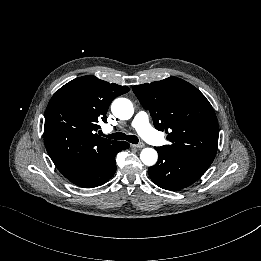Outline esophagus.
I'll use <instances>...</instances> for the list:
<instances>
[{
    "mask_svg": "<svg viewBox=\"0 0 261 261\" xmlns=\"http://www.w3.org/2000/svg\"><path fill=\"white\" fill-rule=\"evenodd\" d=\"M133 147H136V148H143L145 146L144 143H139V144H135V145H132Z\"/></svg>",
    "mask_w": 261,
    "mask_h": 261,
    "instance_id": "esophagus-1",
    "label": "esophagus"
}]
</instances>
